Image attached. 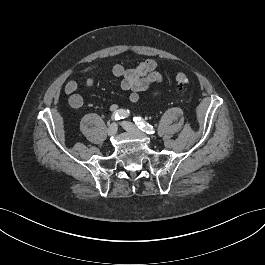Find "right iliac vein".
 Here are the masks:
<instances>
[{
	"label": "right iliac vein",
	"instance_id": "63e3f726",
	"mask_svg": "<svg viewBox=\"0 0 265 265\" xmlns=\"http://www.w3.org/2000/svg\"><path fill=\"white\" fill-rule=\"evenodd\" d=\"M117 129H118L117 124L112 123L107 129L108 136H114L117 132Z\"/></svg>",
	"mask_w": 265,
	"mask_h": 265
}]
</instances>
